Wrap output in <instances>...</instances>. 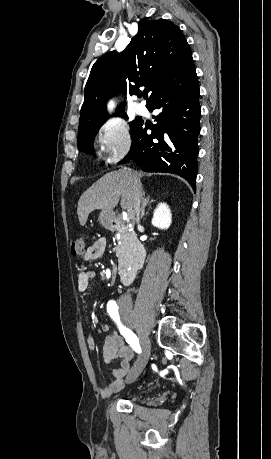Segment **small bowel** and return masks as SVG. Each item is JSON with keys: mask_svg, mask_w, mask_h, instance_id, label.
<instances>
[{"mask_svg": "<svg viewBox=\"0 0 271 459\" xmlns=\"http://www.w3.org/2000/svg\"><path fill=\"white\" fill-rule=\"evenodd\" d=\"M106 247L107 241L105 238L97 239L87 248L81 258V263L84 264L99 259L105 253ZM94 278L95 273L93 271L80 269L77 275L78 290L81 292L86 291ZM100 328L103 332L110 331V326L107 323H102ZM86 343L90 350L96 348V341L92 336L87 337ZM103 357L107 362L120 359L119 367L112 373V380L100 391L103 398H108L123 388L132 372L131 362L134 354L131 348L125 345L121 336L117 333H111L104 338Z\"/></svg>", "mask_w": 271, "mask_h": 459, "instance_id": "obj_1", "label": "small bowel"}]
</instances>
